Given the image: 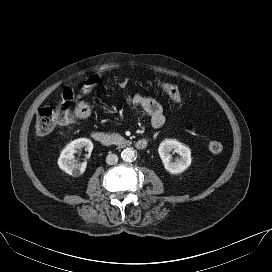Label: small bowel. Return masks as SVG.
Here are the masks:
<instances>
[{
	"label": "small bowel",
	"instance_id": "obj_1",
	"mask_svg": "<svg viewBox=\"0 0 272 272\" xmlns=\"http://www.w3.org/2000/svg\"><path fill=\"white\" fill-rule=\"evenodd\" d=\"M126 101L132 105L140 106L150 117L153 128H161L165 123L162 106L154 99L139 94L126 97Z\"/></svg>",
	"mask_w": 272,
	"mask_h": 272
}]
</instances>
